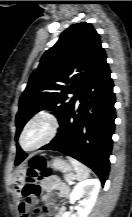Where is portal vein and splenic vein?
<instances>
[{
	"label": "portal vein and splenic vein",
	"mask_w": 132,
	"mask_h": 217,
	"mask_svg": "<svg viewBox=\"0 0 132 217\" xmlns=\"http://www.w3.org/2000/svg\"><path fill=\"white\" fill-rule=\"evenodd\" d=\"M69 184H72V181H69Z\"/></svg>",
	"instance_id": "18ae733b"
}]
</instances>
